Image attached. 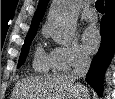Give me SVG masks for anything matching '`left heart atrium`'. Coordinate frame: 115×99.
Segmentation results:
<instances>
[{"mask_svg":"<svg viewBox=\"0 0 115 99\" xmlns=\"http://www.w3.org/2000/svg\"><path fill=\"white\" fill-rule=\"evenodd\" d=\"M83 43L85 48L89 52H94L97 50L100 44V34L96 27L90 26L86 28L83 32Z\"/></svg>","mask_w":115,"mask_h":99,"instance_id":"left-heart-atrium-1","label":"left heart atrium"}]
</instances>
